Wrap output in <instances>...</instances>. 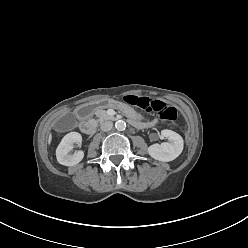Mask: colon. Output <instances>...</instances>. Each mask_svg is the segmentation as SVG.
Returning <instances> with one entry per match:
<instances>
[{"label":"colon","mask_w":248,"mask_h":248,"mask_svg":"<svg viewBox=\"0 0 248 248\" xmlns=\"http://www.w3.org/2000/svg\"><path fill=\"white\" fill-rule=\"evenodd\" d=\"M128 100L131 104L140 107L146 112L156 113L161 119L165 121L174 122L177 119V112L175 108L167 105L161 100L148 97H129Z\"/></svg>","instance_id":"colon-1"}]
</instances>
